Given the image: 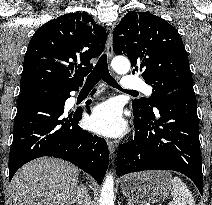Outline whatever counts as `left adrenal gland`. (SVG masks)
Listing matches in <instances>:
<instances>
[{"label":"left adrenal gland","mask_w":212,"mask_h":205,"mask_svg":"<svg viewBox=\"0 0 212 205\" xmlns=\"http://www.w3.org/2000/svg\"><path fill=\"white\" fill-rule=\"evenodd\" d=\"M128 205H133L131 202H128Z\"/></svg>","instance_id":"1"}]
</instances>
